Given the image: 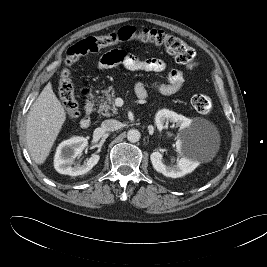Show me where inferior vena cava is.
Instances as JSON below:
<instances>
[{"mask_svg": "<svg viewBox=\"0 0 267 267\" xmlns=\"http://www.w3.org/2000/svg\"><path fill=\"white\" fill-rule=\"evenodd\" d=\"M101 127L104 131H115L120 129L121 124L117 120L108 119L102 122Z\"/></svg>", "mask_w": 267, "mask_h": 267, "instance_id": "inferior-vena-cava-1", "label": "inferior vena cava"}]
</instances>
